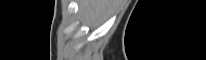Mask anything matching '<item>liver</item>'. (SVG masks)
I'll return each mask as SVG.
<instances>
[{
	"instance_id": "1",
	"label": "liver",
	"mask_w": 206,
	"mask_h": 60,
	"mask_svg": "<svg viewBox=\"0 0 206 60\" xmlns=\"http://www.w3.org/2000/svg\"><path fill=\"white\" fill-rule=\"evenodd\" d=\"M78 5L80 21L93 28L106 22L117 11L120 0H78Z\"/></svg>"
}]
</instances>
